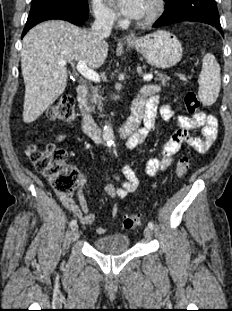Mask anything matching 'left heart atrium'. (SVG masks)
I'll return each mask as SVG.
<instances>
[{
  "instance_id": "1",
  "label": "left heart atrium",
  "mask_w": 232,
  "mask_h": 311,
  "mask_svg": "<svg viewBox=\"0 0 232 311\" xmlns=\"http://www.w3.org/2000/svg\"><path fill=\"white\" fill-rule=\"evenodd\" d=\"M120 12L131 19H139L145 12L147 0H110Z\"/></svg>"
}]
</instances>
